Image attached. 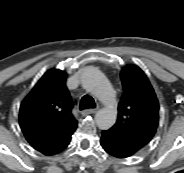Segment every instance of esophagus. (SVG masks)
I'll return each mask as SVG.
<instances>
[{
    "label": "esophagus",
    "mask_w": 184,
    "mask_h": 173,
    "mask_svg": "<svg viewBox=\"0 0 184 173\" xmlns=\"http://www.w3.org/2000/svg\"><path fill=\"white\" fill-rule=\"evenodd\" d=\"M98 111V108H93V109H85L83 111H81V114L83 116L89 115V114H94Z\"/></svg>",
    "instance_id": "obj_1"
}]
</instances>
